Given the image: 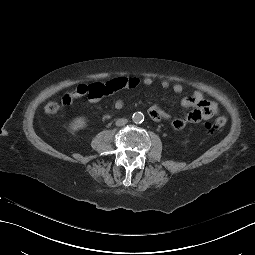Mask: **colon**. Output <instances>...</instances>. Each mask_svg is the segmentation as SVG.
Returning a JSON list of instances; mask_svg holds the SVG:
<instances>
[{"instance_id":"obj_1","label":"colon","mask_w":255,"mask_h":255,"mask_svg":"<svg viewBox=\"0 0 255 255\" xmlns=\"http://www.w3.org/2000/svg\"><path fill=\"white\" fill-rule=\"evenodd\" d=\"M60 109V105L56 101H50L45 106V112L49 115L56 114ZM227 123V119L224 116L217 117L214 121L206 123V128L210 133H216L221 131Z\"/></svg>"}]
</instances>
